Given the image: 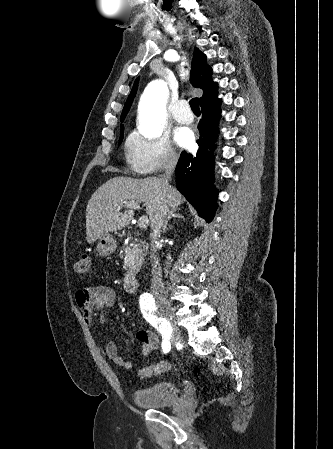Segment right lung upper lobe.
<instances>
[{
    "mask_svg": "<svg viewBox=\"0 0 333 449\" xmlns=\"http://www.w3.org/2000/svg\"><path fill=\"white\" fill-rule=\"evenodd\" d=\"M212 69L210 66L206 63V56L203 54L198 48L194 49L193 53V59H192V69H191V78L190 81L194 87L200 88L203 90L204 94L201 97L200 101H202L207 95L217 90L216 83L212 82ZM138 80L136 79L131 93L128 96V99L125 103L124 109L121 114V119L125 118L127 115L130 106L132 104V101L135 97L137 87H138Z\"/></svg>",
    "mask_w": 333,
    "mask_h": 449,
    "instance_id": "cb5924a9",
    "label": "right lung upper lobe"
}]
</instances>
